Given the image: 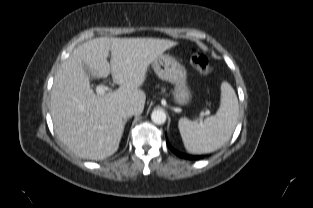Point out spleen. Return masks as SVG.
Segmentation results:
<instances>
[{"label": "spleen", "instance_id": "obj_1", "mask_svg": "<svg viewBox=\"0 0 313 208\" xmlns=\"http://www.w3.org/2000/svg\"><path fill=\"white\" fill-rule=\"evenodd\" d=\"M239 113L238 99L232 86L224 81L221 84V104L214 116L204 121H191L181 118L178 128L187 151L201 154L213 152L224 145L231 137Z\"/></svg>", "mask_w": 313, "mask_h": 208}]
</instances>
